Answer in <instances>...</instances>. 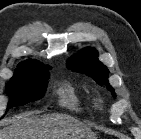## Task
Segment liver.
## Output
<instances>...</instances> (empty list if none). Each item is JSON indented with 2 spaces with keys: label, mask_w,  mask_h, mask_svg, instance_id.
Masks as SVG:
<instances>
[{
  "label": "liver",
  "mask_w": 141,
  "mask_h": 139,
  "mask_svg": "<svg viewBox=\"0 0 141 139\" xmlns=\"http://www.w3.org/2000/svg\"><path fill=\"white\" fill-rule=\"evenodd\" d=\"M0 129V139H76L90 128L72 116L60 113L35 115L25 112Z\"/></svg>",
  "instance_id": "obj_1"
}]
</instances>
